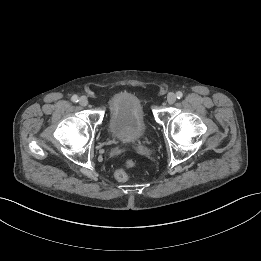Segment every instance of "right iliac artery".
I'll return each mask as SVG.
<instances>
[{
  "mask_svg": "<svg viewBox=\"0 0 261 261\" xmlns=\"http://www.w3.org/2000/svg\"><path fill=\"white\" fill-rule=\"evenodd\" d=\"M71 99H72L73 102H78L79 101V98H78L77 95H73Z\"/></svg>",
  "mask_w": 261,
  "mask_h": 261,
  "instance_id": "1",
  "label": "right iliac artery"
}]
</instances>
